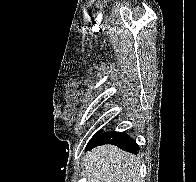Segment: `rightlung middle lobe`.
I'll use <instances>...</instances> for the list:
<instances>
[{"label":"right lung middle lobe","mask_w":196,"mask_h":182,"mask_svg":"<svg viewBox=\"0 0 196 182\" xmlns=\"http://www.w3.org/2000/svg\"><path fill=\"white\" fill-rule=\"evenodd\" d=\"M102 134V130H99L89 141L87 148Z\"/></svg>","instance_id":"right-lung-middle-lobe-1"}]
</instances>
